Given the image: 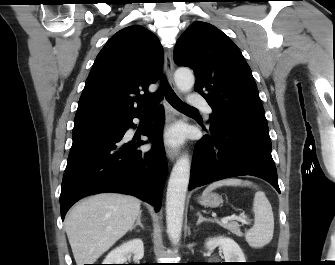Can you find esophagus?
<instances>
[{
	"mask_svg": "<svg viewBox=\"0 0 335 265\" xmlns=\"http://www.w3.org/2000/svg\"><path fill=\"white\" fill-rule=\"evenodd\" d=\"M164 69H165V74L168 79L169 85L171 86L172 89L175 90L176 86H175V82L173 78L174 63H173L172 51L170 49H167L165 51ZM165 108H166L169 122L174 121L175 120L174 112L170 104L167 101H165ZM166 154L170 160H175L178 157L179 153L177 149L168 146L166 148Z\"/></svg>",
	"mask_w": 335,
	"mask_h": 265,
	"instance_id": "obj_1",
	"label": "esophagus"
}]
</instances>
